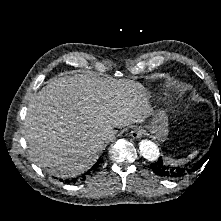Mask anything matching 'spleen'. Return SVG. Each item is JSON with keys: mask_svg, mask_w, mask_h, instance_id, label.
Returning a JSON list of instances; mask_svg holds the SVG:
<instances>
[{"mask_svg": "<svg viewBox=\"0 0 221 221\" xmlns=\"http://www.w3.org/2000/svg\"><path fill=\"white\" fill-rule=\"evenodd\" d=\"M196 154H197V151L193 152L192 154L189 155V158H192V157L195 156ZM166 159H167V162H168L169 164H171V165H177L178 163L182 162V160L178 162V161H176V160H174V159H172V158H169V157H167Z\"/></svg>", "mask_w": 221, "mask_h": 221, "instance_id": "3e777b00", "label": "spleen"}]
</instances>
